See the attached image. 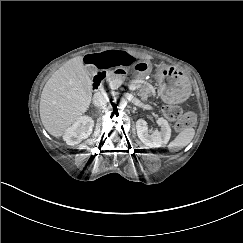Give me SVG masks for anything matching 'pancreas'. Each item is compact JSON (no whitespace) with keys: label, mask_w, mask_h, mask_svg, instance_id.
Returning <instances> with one entry per match:
<instances>
[{"label":"pancreas","mask_w":243,"mask_h":243,"mask_svg":"<svg viewBox=\"0 0 243 243\" xmlns=\"http://www.w3.org/2000/svg\"><path fill=\"white\" fill-rule=\"evenodd\" d=\"M108 81L118 80L124 82L125 78L120 75H110L107 78ZM137 88V95L141 98L142 101H146L151 94V89L147 84H136Z\"/></svg>","instance_id":"obj_1"}]
</instances>
